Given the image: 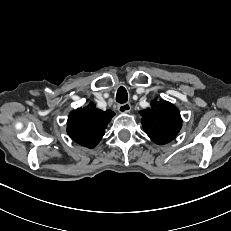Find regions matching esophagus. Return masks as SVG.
<instances>
[{
	"mask_svg": "<svg viewBox=\"0 0 231 231\" xmlns=\"http://www.w3.org/2000/svg\"><path fill=\"white\" fill-rule=\"evenodd\" d=\"M118 110L120 113H128L131 111V105H130V103L119 104Z\"/></svg>",
	"mask_w": 231,
	"mask_h": 231,
	"instance_id": "esophagus-1",
	"label": "esophagus"
}]
</instances>
